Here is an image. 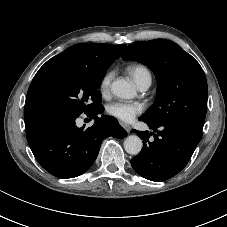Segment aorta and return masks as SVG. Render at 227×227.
I'll return each instance as SVG.
<instances>
[{
    "label": "aorta",
    "mask_w": 227,
    "mask_h": 227,
    "mask_svg": "<svg viewBox=\"0 0 227 227\" xmlns=\"http://www.w3.org/2000/svg\"><path fill=\"white\" fill-rule=\"evenodd\" d=\"M112 93L123 99H132L136 96L134 86L125 79H117L111 84ZM143 147L142 140L136 135L128 136L124 141L125 151L130 155H138Z\"/></svg>",
    "instance_id": "aorta-1"
}]
</instances>
